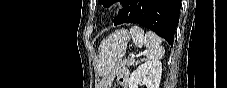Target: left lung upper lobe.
<instances>
[{
  "label": "left lung upper lobe",
  "mask_w": 227,
  "mask_h": 88,
  "mask_svg": "<svg viewBox=\"0 0 227 88\" xmlns=\"http://www.w3.org/2000/svg\"><path fill=\"white\" fill-rule=\"evenodd\" d=\"M117 1L122 2L123 0H99V3H101L104 7H109L114 2H117Z\"/></svg>",
  "instance_id": "5c2ea615"
}]
</instances>
